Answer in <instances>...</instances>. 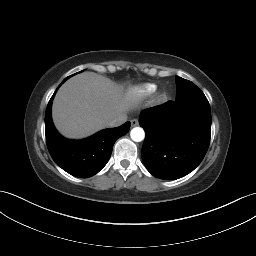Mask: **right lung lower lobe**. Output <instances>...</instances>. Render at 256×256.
<instances>
[{
	"label": "right lung lower lobe",
	"mask_w": 256,
	"mask_h": 256,
	"mask_svg": "<svg viewBox=\"0 0 256 256\" xmlns=\"http://www.w3.org/2000/svg\"><path fill=\"white\" fill-rule=\"evenodd\" d=\"M53 97L45 114L46 143L50 155L58 166L75 177L87 178L97 174L108 162L115 141L129 131L130 122L102 130L84 140H68L54 128L51 119Z\"/></svg>",
	"instance_id": "obj_1"
}]
</instances>
